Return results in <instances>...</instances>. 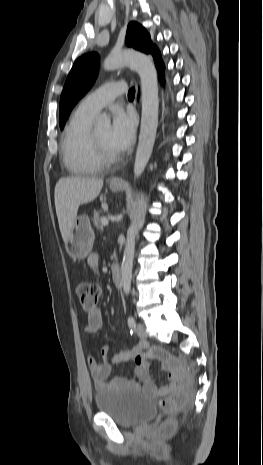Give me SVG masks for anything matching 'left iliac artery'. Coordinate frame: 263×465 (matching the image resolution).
I'll list each match as a JSON object with an SVG mask.
<instances>
[{"instance_id": "left-iliac-artery-1", "label": "left iliac artery", "mask_w": 263, "mask_h": 465, "mask_svg": "<svg viewBox=\"0 0 263 465\" xmlns=\"http://www.w3.org/2000/svg\"><path fill=\"white\" fill-rule=\"evenodd\" d=\"M135 325H136V322H135V319L133 316H129L128 317V326L130 327L131 329V333H132V330L135 328Z\"/></svg>"}]
</instances>
